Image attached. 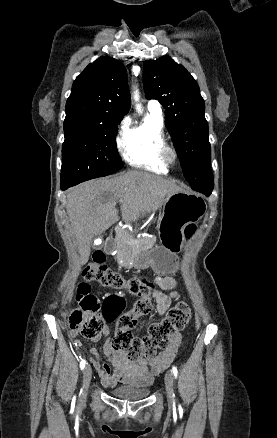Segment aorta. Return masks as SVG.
I'll return each mask as SVG.
<instances>
[{"mask_svg":"<svg viewBox=\"0 0 277 438\" xmlns=\"http://www.w3.org/2000/svg\"><path fill=\"white\" fill-rule=\"evenodd\" d=\"M134 99H135L136 101L139 100V93H138V91L135 92ZM137 109H138V111H141V106H140V105H137Z\"/></svg>","mask_w":277,"mask_h":438,"instance_id":"1","label":"aorta"}]
</instances>
